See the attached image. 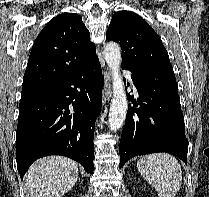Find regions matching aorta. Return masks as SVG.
Segmentation results:
<instances>
[{
  "instance_id": "aorta-1",
  "label": "aorta",
  "mask_w": 209,
  "mask_h": 197,
  "mask_svg": "<svg viewBox=\"0 0 209 197\" xmlns=\"http://www.w3.org/2000/svg\"><path fill=\"white\" fill-rule=\"evenodd\" d=\"M104 57L112 73L113 98L110 104L109 128L119 130L125 121L128 102L124 82L120 75L121 49L115 42H109L104 47Z\"/></svg>"
}]
</instances>
